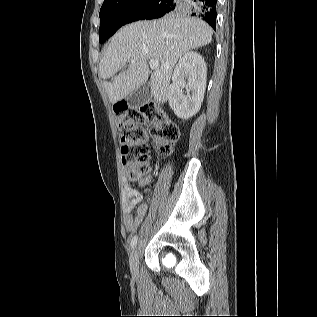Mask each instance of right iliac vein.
I'll use <instances>...</instances> for the list:
<instances>
[{"label":"right iliac vein","mask_w":317,"mask_h":317,"mask_svg":"<svg viewBox=\"0 0 317 317\" xmlns=\"http://www.w3.org/2000/svg\"><path fill=\"white\" fill-rule=\"evenodd\" d=\"M130 270L133 276H138L139 274V251L138 248H135L129 259Z\"/></svg>","instance_id":"63e3f726"}]
</instances>
